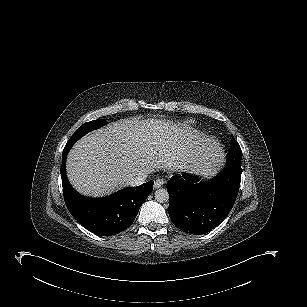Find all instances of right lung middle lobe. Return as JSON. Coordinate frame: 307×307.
<instances>
[{
	"label": "right lung middle lobe",
	"instance_id": "right-lung-middle-lobe-1",
	"mask_svg": "<svg viewBox=\"0 0 307 307\" xmlns=\"http://www.w3.org/2000/svg\"><path fill=\"white\" fill-rule=\"evenodd\" d=\"M106 121L105 120H93L87 123H84L69 139V141L67 142L65 147H72L73 144L80 139L82 136H84L85 134H87L88 132L100 128L104 125H106Z\"/></svg>",
	"mask_w": 307,
	"mask_h": 307
}]
</instances>
